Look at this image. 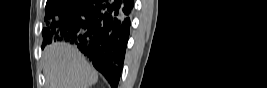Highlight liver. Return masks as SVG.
Returning <instances> with one entry per match:
<instances>
[{
    "label": "liver",
    "instance_id": "obj_1",
    "mask_svg": "<svg viewBox=\"0 0 267 88\" xmlns=\"http://www.w3.org/2000/svg\"><path fill=\"white\" fill-rule=\"evenodd\" d=\"M46 88H89L98 74L74 46L56 42L48 45L42 55Z\"/></svg>",
    "mask_w": 267,
    "mask_h": 88
}]
</instances>
